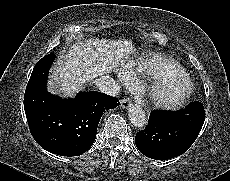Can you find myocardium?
Returning a JSON list of instances; mask_svg holds the SVG:
<instances>
[{
	"label": "myocardium",
	"mask_w": 230,
	"mask_h": 181,
	"mask_svg": "<svg viewBox=\"0 0 230 181\" xmlns=\"http://www.w3.org/2000/svg\"><path fill=\"white\" fill-rule=\"evenodd\" d=\"M181 84L182 88L173 93V88ZM193 81L183 70L178 73H170L158 76L150 80L146 88V95L149 102L156 108L163 110L176 109L189 99L193 92Z\"/></svg>",
	"instance_id": "f54148a6"
}]
</instances>
